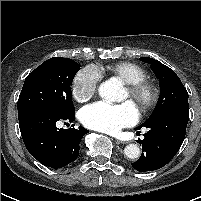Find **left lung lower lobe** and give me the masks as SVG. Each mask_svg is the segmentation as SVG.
Returning <instances> with one entry per match:
<instances>
[{"instance_id": "left-lung-lower-lobe-1", "label": "left lung lower lobe", "mask_w": 201, "mask_h": 201, "mask_svg": "<svg viewBox=\"0 0 201 201\" xmlns=\"http://www.w3.org/2000/svg\"><path fill=\"white\" fill-rule=\"evenodd\" d=\"M189 120V110L175 109L165 112L142 124L148 128L139 140L142 145L141 157L134 163L133 168L139 172L153 171L165 166L179 151L186 133Z\"/></svg>"}]
</instances>
